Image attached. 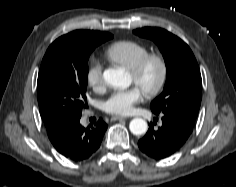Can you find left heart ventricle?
Segmentation results:
<instances>
[{
  "label": "left heart ventricle",
  "mask_w": 236,
  "mask_h": 187,
  "mask_svg": "<svg viewBox=\"0 0 236 187\" xmlns=\"http://www.w3.org/2000/svg\"><path fill=\"white\" fill-rule=\"evenodd\" d=\"M158 77L159 68L156 64H150L138 82H135L132 74H130L131 82L138 86L142 91L144 89L153 87L156 84Z\"/></svg>",
  "instance_id": "obj_1"
}]
</instances>
